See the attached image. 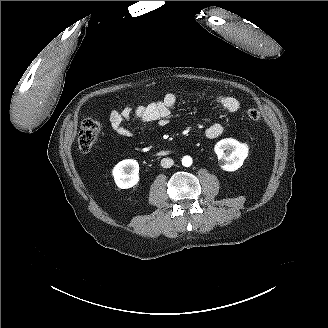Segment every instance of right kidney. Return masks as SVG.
<instances>
[{"label": "right kidney", "mask_w": 328, "mask_h": 328, "mask_svg": "<svg viewBox=\"0 0 328 328\" xmlns=\"http://www.w3.org/2000/svg\"><path fill=\"white\" fill-rule=\"evenodd\" d=\"M131 170L130 174L126 172ZM112 177L117 185L121 189H129L136 186L139 183V165L134 159H126L118 164L112 170Z\"/></svg>", "instance_id": "ca27d5eb"}]
</instances>
